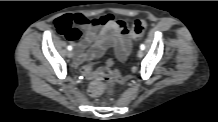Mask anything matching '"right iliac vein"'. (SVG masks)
<instances>
[{
  "instance_id": "63e3f726",
  "label": "right iliac vein",
  "mask_w": 218,
  "mask_h": 122,
  "mask_svg": "<svg viewBox=\"0 0 218 122\" xmlns=\"http://www.w3.org/2000/svg\"><path fill=\"white\" fill-rule=\"evenodd\" d=\"M67 56H68L69 58H72V57L74 56V53H73L72 51H69V52L67 53Z\"/></svg>"
}]
</instances>
